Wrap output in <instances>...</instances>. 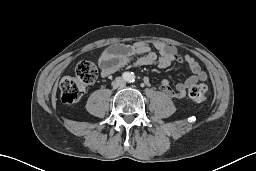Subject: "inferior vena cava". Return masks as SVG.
Wrapping results in <instances>:
<instances>
[{
  "label": "inferior vena cava",
  "mask_w": 256,
  "mask_h": 171,
  "mask_svg": "<svg viewBox=\"0 0 256 171\" xmlns=\"http://www.w3.org/2000/svg\"><path fill=\"white\" fill-rule=\"evenodd\" d=\"M126 82L123 78L121 77H117L113 82H112V86L114 89L116 88H123L125 87Z\"/></svg>",
  "instance_id": "obj_1"
}]
</instances>
